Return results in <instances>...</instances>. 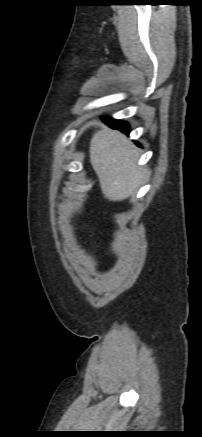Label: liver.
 Instances as JSON below:
<instances>
[{
    "label": "liver",
    "mask_w": 202,
    "mask_h": 437,
    "mask_svg": "<svg viewBox=\"0 0 202 437\" xmlns=\"http://www.w3.org/2000/svg\"><path fill=\"white\" fill-rule=\"evenodd\" d=\"M90 162L109 201H122L138 190L146 171L137 165L139 153L121 132L103 126L90 142Z\"/></svg>",
    "instance_id": "6515ba94"
}]
</instances>
